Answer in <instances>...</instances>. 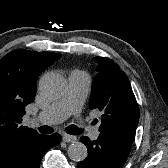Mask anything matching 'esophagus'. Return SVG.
Wrapping results in <instances>:
<instances>
[{"instance_id": "34e87169", "label": "esophagus", "mask_w": 168, "mask_h": 168, "mask_svg": "<svg viewBox=\"0 0 168 168\" xmlns=\"http://www.w3.org/2000/svg\"><path fill=\"white\" fill-rule=\"evenodd\" d=\"M62 139L65 142H75L77 137L69 134H63Z\"/></svg>"}]
</instances>
